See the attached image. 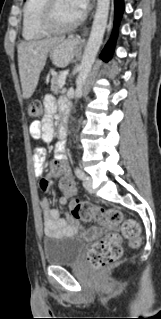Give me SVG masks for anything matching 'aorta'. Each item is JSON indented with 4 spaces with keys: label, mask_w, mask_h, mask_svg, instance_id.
<instances>
[{
    "label": "aorta",
    "mask_w": 161,
    "mask_h": 319,
    "mask_svg": "<svg viewBox=\"0 0 161 319\" xmlns=\"http://www.w3.org/2000/svg\"><path fill=\"white\" fill-rule=\"evenodd\" d=\"M110 0H97L96 13L91 28L90 37L85 47L79 74L76 79L75 98L82 96L83 87L94 64L96 55L101 46L105 29L107 26Z\"/></svg>",
    "instance_id": "762f6f07"
}]
</instances>
